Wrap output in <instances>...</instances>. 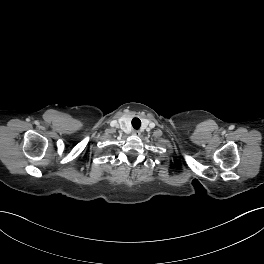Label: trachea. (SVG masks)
I'll use <instances>...</instances> for the list:
<instances>
[{"mask_svg":"<svg viewBox=\"0 0 264 264\" xmlns=\"http://www.w3.org/2000/svg\"><path fill=\"white\" fill-rule=\"evenodd\" d=\"M132 126L134 129H139L141 126V121L139 118H133L132 119Z\"/></svg>","mask_w":264,"mask_h":264,"instance_id":"3493384b","label":"trachea"}]
</instances>
